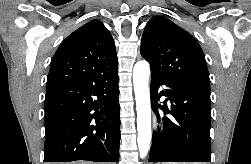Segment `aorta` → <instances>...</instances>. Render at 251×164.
<instances>
[{"mask_svg":"<svg viewBox=\"0 0 251 164\" xmlns=\"http://www.w3.org/2000/svg\"><path fill=\"white\" fill-rule=\"evenodd\" d=\"M149 77V63L145 60L138 61L133 68V85L137 110V142L141 158L146 157L151 141Z\"/></svg>","mask_w":251,"mask_h":164,"instance_id":"aorta-1","label":"aorta"}]
</instances>
